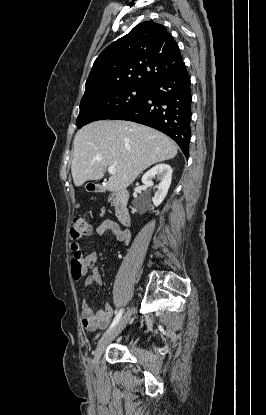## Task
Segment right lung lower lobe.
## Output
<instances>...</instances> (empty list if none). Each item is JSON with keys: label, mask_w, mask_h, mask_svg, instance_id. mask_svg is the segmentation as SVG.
Here are the masks:
<instances>
[{"label": "right lung lower lobe", "mask_w": 266, "mask_h": 415, "mask_svg": "<svg viewBox=\"0 0 266 415\" xmlns=\"http://www.w3.org/2000/svg\"><path fill=\"white\" fill-rule=\"evenodd\" d=\"M190 78L186 67L148 87L137 104L117 113L111 120H128L155 128L177 142L188 157L191 138Z\"/></svg>", "instance_id": "obj_1"}]
</instances>
